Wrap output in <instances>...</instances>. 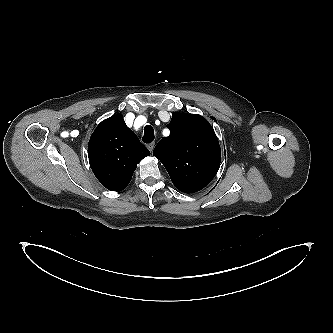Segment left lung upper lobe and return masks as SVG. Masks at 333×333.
Listing matches in <instances>:
<instances>
[{"mask_svg": "<svg viewBox=\"0 0 333 333\" xmlns=\"http://www.w3.org/2000/svg\"><path fill=\"white\" fill-rule=\"evenodd\" d=\"M170 135L156 145L153 155L165 166L173 184L184 193H194L215 177L221 149L209 122L200 115L173 113L167 125Z\"/></svg>", "mask_w": 333, "mask_h": 333, "instance_id": "5c2ea615", "label": "left lung upper lobe"}]
</instances>
